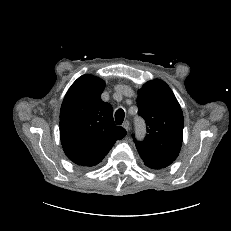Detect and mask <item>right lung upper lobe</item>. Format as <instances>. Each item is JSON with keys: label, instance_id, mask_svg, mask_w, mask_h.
<instances>
[{"label": "right lung upper lobe", "instance_id": "right-lung-upper-lobe-1", "mask_svg": "<svg viewBox=\"0 0 231 231\" xmlns=\"http://www.w3.org/2000/svg\"><path fill=\"white\" fill-rule=\"evenodd\" d=\"M105 82L79 77L69 88L60 111V139L66 156L81 166L102 161L117 140L127 134L115 125L111 105L101 100Z\"/></svg>", "mask_w": 231, "mask_h": 231}]
</instances>
